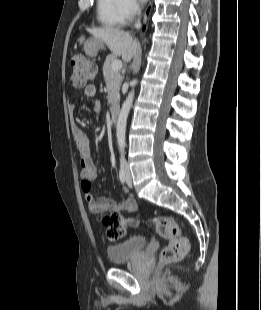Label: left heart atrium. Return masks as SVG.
Returning a JSON list of instances; mask_svg holds the SVG:
<instances>
[{
  "label": "left heart atrium",
  "mask_w": 261,
  "mask_h": 310,
  "mask_svg": "<svg viewBox=\"0 0 261 310\" xmlns=\"http://www.w3.org/2000/svg\"><path fill=\"white\" fill-rule=\"evenodd\" d=\"M140 1H143V2H144V1H147V0H140Z\"/></svg>",
  "instance_id": "1"
}]
</instances>
